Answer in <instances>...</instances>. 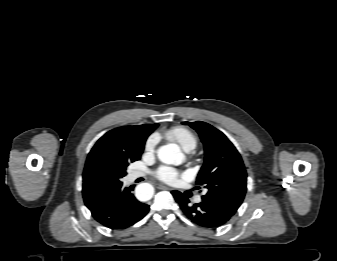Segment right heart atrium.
<instances>
[{
    "instance_id": "right-heart-atrium-1",
    "label": "right heart atrium",
    "mask_w": 337,
    "mask_h": 261,
    "mask_svg": "<svg viewBox=\"0 0 337 261\" xmlns=\"http://www.w3.org/2000/svg\"><path fill=\"white\" fill-rule=\"evenodd\" d=\"M156 143H157V138L155 136H151L147 141H146V144H145V151L146 152H153L154 149H155V146H156Z\"/></svg>"
}]
</instances>
